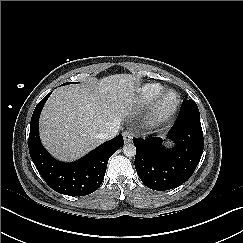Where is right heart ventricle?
<instances>
[{"label": "right heart ventricle", "mask_w": 243, "mask_h": 243, "mask_svg": "<svg viewBox=\"0 0 243 243\" xmlns=\"http://www.w3.org/2000/svg\"><path fill=\"white\" fill-rule=\"evenodd\" d=\"M164 89V86L159 83H145L135 90L133 102L139 107L150 106L156 101Z\"/></svg>", "instance_id": "obj_1"}]
</instances>
